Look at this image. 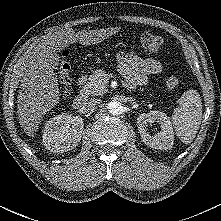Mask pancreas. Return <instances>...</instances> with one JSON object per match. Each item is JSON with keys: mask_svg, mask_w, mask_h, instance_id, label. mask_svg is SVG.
<instances>
[{"mask_svg": "<svg viewBox=\"0 0 221 221\" xmlns=\"http://www.w3.org/2000/svg\"><path fill=\"white\" fill-rule=\"evenodd\" d=\"M109 83V74L104 70H95L89 77V81L83 87L81 94L85 96H98L107 92Z\"/></svg>", "mask_w": 221, "mask_h": 221, "instance_id": "obj_1", "label": "pancreas"}]
</instances>
